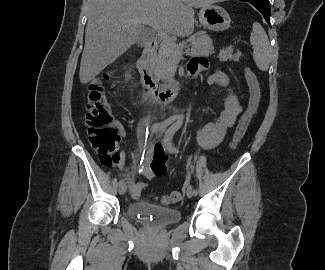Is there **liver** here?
<instances>
[{
	"label": "liver",
	"instance_id": "liver-1",
	"mask_svg": "<svg viewBox=\"0 0 325 270\" xmlns=\"http://www.w3.org/2000/svg\"><path fill=\"white\" fill-rule=\"evenodd\" d=\"M213 0H89L85 46L79 79L89 83L145 32L139 19L156 21L168 33L186 37L194 31L193 7Z\"/></svg>",
	"mask_w": 325,
	"mask_h": 270
}]
</instances>
